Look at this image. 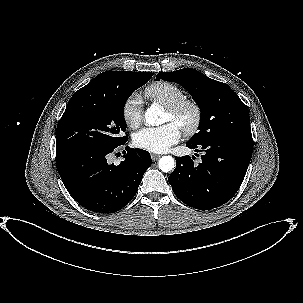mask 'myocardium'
Segmentation results:
<instances>
[{
    "label": "myocardium",
    "instance_id": "1",
    "mask_svg": "<svg viewBox=\"0 0 303 303\" xmlns=\"http://www.w3.org/2000/svg\"><path fill=\"white\" fill-rule=\"evenodd\" d=\"M185 109L191 110L192 118L189 123L181 124L180 129L186 136H192L199 130L202 120V110L197 102L184 98L166 107V112L172 117H177Z\"/></svg>",
    "mask_w": 303,
    "mask_h": 303
}]
</instances>
